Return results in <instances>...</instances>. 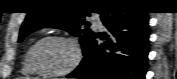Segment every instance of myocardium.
<instances>
[{
  "label": "myocardium",
  "instance_id": "myocardium-1",
  "mask_svg": "<svg viewBox=\"0 0 177 79\" xmlns=\"http://www.w3.org/2000/svg\"><path fill=\"white\" fill-rule=\"evenodd\" d=\"M52 39L66 41V42H69L73 46L74 59L70 63V65L63 70L48 71V70H45L42 67H40L36 61L35 53H36L37 48L42 43H44L48 40H52ZM82 59H83V51H82V48H81L79 42L74 37H72L70 35H65V34H51V35L44 36V37L40 38L37 42H35L34 45L30 49V63L32 65L33 69L37 73L42 74V75H47V76H62V75L69 74V73L73 72L81 64Z\"/></svg>",
  "mask_w": 177,
  "mask_h": 79
}]
</instances>
